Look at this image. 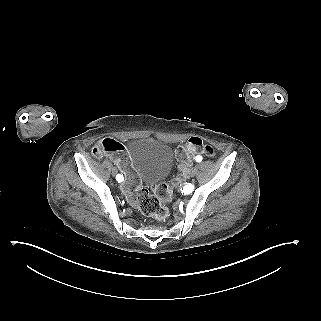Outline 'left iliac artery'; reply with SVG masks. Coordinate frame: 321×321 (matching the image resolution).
Instances as JSON below:
<instances>
[{"label": "left iliac artery", "mask_w": 321, "mask_h": 321, "mask_svg": "<svg viewBox=\"0 0 321 321\" xmlns=\"http://www.w3.org/2000/svg\"><path fill=\"white\" fill-rule=\"evenodd\" d=\"M202 161V157L201 156H197L196 157V162H201Z\"/></svg>", "instance_id": "1"}]
</instances>
